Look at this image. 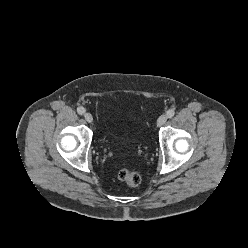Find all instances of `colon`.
<instances>
[{"label":"colon","instance_id":"obj_1","mask_svg":"<svg viewBox=\"0 0 248 248\" xmlns=\"http://www.w3.org/2000/svg\"><path fill=\"white\" fill-rule=\"evenodd\" d=\"M118 179L132 187L138 186L142 180L139 173L126 169H120L118 171Z\"/></svg>","mask_w":248,"mask_h":248}]
</instances>
